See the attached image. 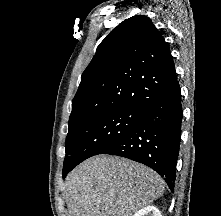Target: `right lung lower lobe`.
I'll return each mask as SVG.
<instances>
[{"label": "right lung lower lobe", "instance_id": "obj_1", "mask_svg": "<svg viewBox=\"0 0 221 216\" xmlns=\"http://www.w3.org/2000/svg\"><path fill=\"white\" fill-rule=\"evenodd\" d=\"M182 117L181 90L175 80L141 109L134 129L102 154L147 165L164 178L173 192ZM73 168L70 166L68 172Z\"/></svg>", "mask_w": 221, "mask_h": 216}]
</instances>
